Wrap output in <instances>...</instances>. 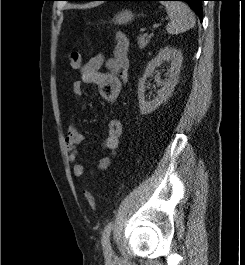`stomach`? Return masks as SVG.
I'll use <instances>...</instances> for the list:
<instances>
[{
    "mask_svg": "<svg viewBox=\"0 0 245 265\" xmlns=\"http://www.w3.org/2000/svg\"><path fill=\"white\" fill-rule=\"evenodd\" d=\"M134 19V14L130 10H123L114 17L116 24L123 25L131 22Z\"/></svg>",
    "mask_w": 245,
    "mask_h": 265,
    "instance_id": "stomach-1",
    "label": "stomach"
}]
</instances>
